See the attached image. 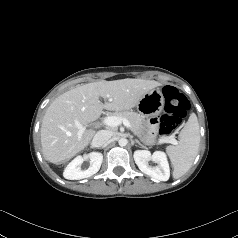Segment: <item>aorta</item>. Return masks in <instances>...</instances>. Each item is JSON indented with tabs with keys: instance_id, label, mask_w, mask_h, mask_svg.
I'll return each mask as SVG.
<instances>
[{
	"instance_id": "aorta-1",
	"label": "aorta",
	"mask_w": 238,
	"mask_h": 238,
	"mask_svg": "<svg viewBox=\"0 0 238 238\" xmlns=\"http://www.w3.org/2000/svg\"><path fill=\"white\" fill-rule=\"evenodd\" d=\"M127 143H128V141H127L126 138H120V139L118 140V144H119L121 147L126 146Z\"/></svg>"
}]
</instances>
